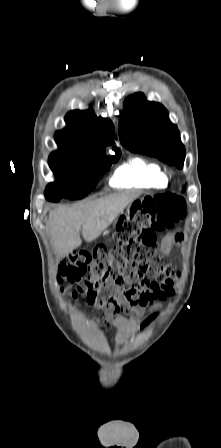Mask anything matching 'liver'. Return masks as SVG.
<instances>
[{"mask_svg": "<svg viewBox=\"0 0 221 448\" xmlns=\"http://www.w3.org/2000/svg\"><path fill=\"white\" fill-rule=\"evenodd\" d=\"M137 197L135 193L113 194L77 207L50 211L47 228L57 255L64 257L82 244L81 228L86 242L96 240Z\"/></svg>", "mask_w": 221, "mask_h": 448, "instance_id": "6515ba94", "label": "liver"}]
</instances>
